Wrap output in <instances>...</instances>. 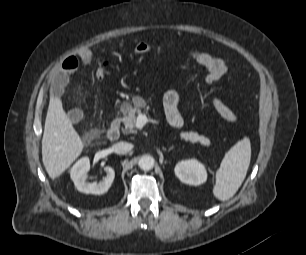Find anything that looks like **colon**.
<instances>
[{
	"label": "colon",
	"instance_id": "1",
	"mask_svg": "<svg viewBox=\"0 0 306 255\" xmlns=\"http://www.w3.org/2000/svg\"><path fill=\"white\" fill-rule=\"evenodd\" d=\"M134 52L137 55H145L149 52V46L145 42H138L134 46ZM190 55L197 63L202 65L207 70V83L212 84L225 75L227 66L224 60L221 58H218L204 51H192ZM109 67L110 62L108 60H104L99 64L97 69V77L99 80L104 79ZM211 103L217 113L223 119L230 123H236L238 121L237 114L232 111L226 104H224L222 100L217 97H213L211 99Z\"/></svg>",
	"mask_w": 306,
	"mask_h": 255
}]
</instances>
